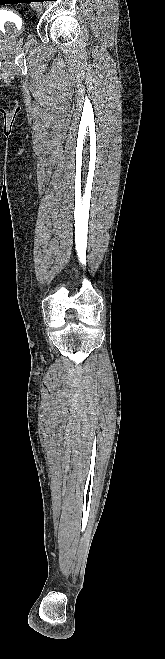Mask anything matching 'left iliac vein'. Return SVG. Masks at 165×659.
I'll return each instance as SVG.
<instances>
[{"mask_svg":"<svg viewBox=\"0 0 165 659\" xmlns=\"http://www.w3.org/2000/svg\"><path fill=\"white\" fill-rule=\"evenodd\" d=\"M33 9H34L35 11H40L39 4H34V5H33Z\"/></svg>","mask_w":165,"mask_h":659,"instance_id":"4c4485c4","label":"left iliac vein"}]
</instances>
